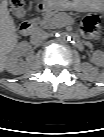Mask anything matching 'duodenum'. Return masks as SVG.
<instances>
[{
    "instance_id": "410a0bca",
    "label": "duodenum",
    "mask_w": 104,
    "mask_h": 137,
    "mask_svg": "<svg viewBox=\"0 0 104 137\" xmlns=\"http://www.w3.org/2000/svg\"><path fill=\"white\" fill-rule=\"evenodd\" d=\"M45 10H46V8H45L42 4H40V5L38 6V8H37V11H38V12H42V11H45ZM33 29H34V23L31 22V21H24V22L20 25V31H21V33H22L23 35H25V36L31 34L32 31H33Z\"/></svg>"
}]
</instances>
